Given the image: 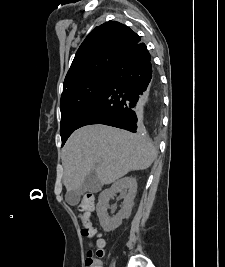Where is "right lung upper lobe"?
<instances>
[{
  "mask_svg": "<svg viewBox=\"0 0 225 267\" xmlns=\"http://www.w3.org/2000/svg\"><path fill=\"white\" fill-rule=\"evenodd\" d=\"M140 40L129 27L116 21L95 27L76 52L63 89L87 78L111 73L120 56Z\"/></svg>",
  "mask_w": 225,
  "mask_h": 267,
  "instance_id": "right-lung-upper-lobe-1",
  "label": "right lung upper lobe"
}]
</instances>
